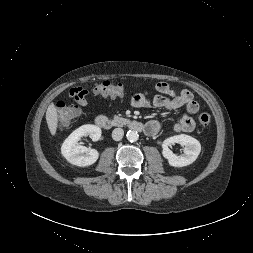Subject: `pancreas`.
I'll list each match as a JSON object with an SVG mask.
<instances>
[{"label": "pancreas", "instance_id": "1", "mask_svg": "<svg viewBox=\"0 0 253 253\" xmlns=\"http://www.w3.org/2000/svg\"><path fill=\"white\" fill-rule=\"evenodd\" d=\"M127 120L125 118H122L118 115H115L113 117V122L116 124V125H123Z\"/></svg>", "mask_w": 253, "mask_h": 253}]
</instances>
